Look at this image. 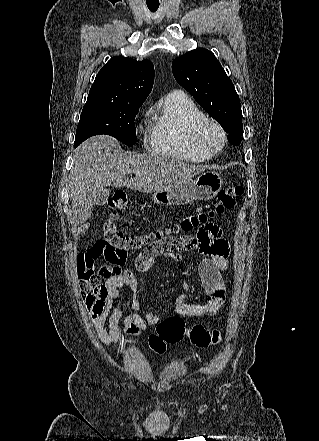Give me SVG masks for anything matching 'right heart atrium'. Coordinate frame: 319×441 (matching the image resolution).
<instances>
[{
  "instance_id": "right-heart-atrium-1",
  "label": "right heart atrium",
  "mask_w": 319,
  "mask_h": 441,
  "mask_svg": "<svg viewBox=\"0 0 319 441\" xmlns=\"http://www.w3.org/2000/svg\"><path fill=\"white\" fill-rule=\"evenodd\" d=\"M149 113H150V110L146 111V112L143 114V118L147 117V116L149 115Z\"/></svg>"
}]
</instances>
